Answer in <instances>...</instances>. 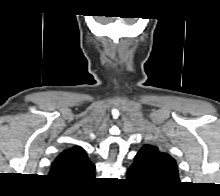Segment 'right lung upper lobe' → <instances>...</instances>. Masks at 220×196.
<instances>
[{
	"label": "right lung upper lobe",
	"instance_id": "cb5924a9",
	"mask_svg": "<svg viewBox=\"0 0 220 196\" xmlns=\"http://www.w3.org/2000/svg\"><path fill=\"white\" fill-rule=\"evenodd\" d=\"M95 165L85 150L75 146L64 150L53 162L50 177L69 183H82L94 175Z\"/></svg>",
	"mask_w": 220,
	"mask_h": 196
}]
</instances>
